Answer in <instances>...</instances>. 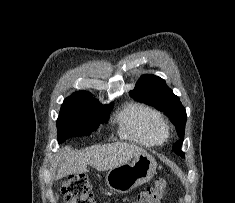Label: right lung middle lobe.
<instances>
[{
    "label": "right lung middle lobe",
    "mask_w": 235,
    "mask_h": 203,
    "mask_svg": "<svg viewBox=\"0 0 235 203\" xmlns=\"http://www.w3.org/2000/svg\"><path fill=\"white\" fill-rule=\"evenodd\" d=\"M113 107L102 106L91 94L74 93L64 100L57 119L58 143L76 136L90 135L106 122Z\"/></svg>",
    "instance_id": "dd1d6c3e"
}]
</instances>
